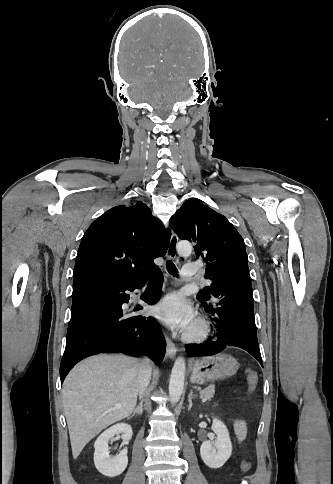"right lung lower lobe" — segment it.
I'll list each match as a JSON object with an SVG mask.
<instances>
[{
	"mask_svg": "<svg viewBox=\"0 0 333 484\" xmlns=\"http://www.w3.org/2000/svg\"><path fill=\"white\" fill-rule=\"evenodd\" d=\"M149 280L150 286L141 298L153 305L161 296L163 283L158 267L130 284L94 281L73 286L71 319L60 366L61 383L77 362L99 353L148 355L155 364L162 361L166 342L159 323L153 317L131 315L143 309L140 305L133 311L122 308L130 299L127 291L142 288Z\"/></svg>",
	"mask_w": 333,
	"mask_h": 484,
	"instance_id": "98d812e1",
	"label": "right lung lower lobe"
}]
</instances>
